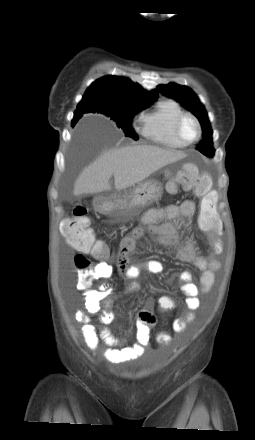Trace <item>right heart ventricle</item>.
<instances>
[{
	"label": "right heart ventricle",
	"mask_w": 255,
	"mask_h": 440,
	"mask_svg": "<svg viewBox=\"0 0 255 440\" xmlns=\"http://www.w3.org/2000/svg\"><path fill=\"white\" fill-rule=\"evenodd\" d=\"M184 113L181 105L173 99L159 101L156 106L141 117V133L148 140L171 149H181V143L174 133L177 118Z\"/></svg>",
	"instance_id": "obj_1"
}]
</instances>
